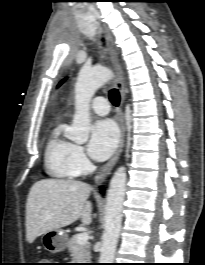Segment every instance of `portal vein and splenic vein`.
Masks as SVG:
<instances>
[{"label":"portal vein and splenic vein","instance_id":"portal-vein-and-splenic-vein-1","mask_svg":"<svg viewBox=\"0 0 205 265\" xmlns=\"http://www.w3.org/2000/svg\"><path fill=\"white\" fill-rule=\"evenodd\" d=\"M88 238H89V235L87 232H81L77 235V242L79 244H85L87 243Z\"/></svg>","mask_w":205,"mask_h":265}]
</instances>
